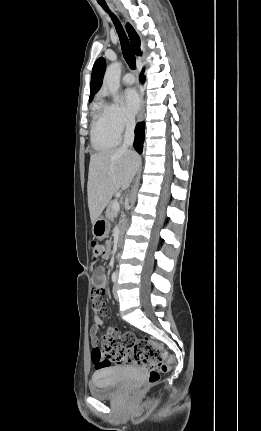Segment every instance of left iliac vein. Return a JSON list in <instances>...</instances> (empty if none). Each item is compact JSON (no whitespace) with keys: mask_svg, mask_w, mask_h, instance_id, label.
Instances as JSON below:
<instances>
[{"mask_svg":"<svg viewBox=\"0 0 261 431\" xmlns=\"http://www.w3.org/2000/svg\"><path fill=\"white\" fill-rule=\"evenodd\" d=\"M118 277V276H117ZM117 289H118V284L117 282L115 283L114 287H113V295L114 297L117 299L118 298V294H117Z\"/></svg>","mask_w":261,"mask_h":431,"instance_id":"1","label":"left iliac vein"}]
</instances>
